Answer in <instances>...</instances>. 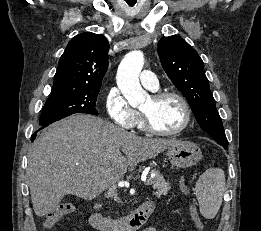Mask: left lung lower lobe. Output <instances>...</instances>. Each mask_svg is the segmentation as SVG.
I'll return each mask as SVG.
<instances>
[{"instance_id":"obj_1","label":"left lung lower lobe","mask_w":261,"mask_h":231,"mask_svg":"<svg viewBox=\"0 0 261 231\" xmlns=\"http://www.w3.org/2000/svg\"><path fill=\"white\" fill-rule=\"evenodd\" d=\"M220 145H222L225 149H228V143H224L223 141L216 140Z\"/></svg>"}]
</instances>
